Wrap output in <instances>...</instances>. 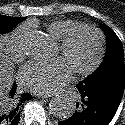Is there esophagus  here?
Segmentation results:
<instances>
[{"label":"esophagus","instance_id":"1","mask_svg":"<svg viewBox=\"0 0 125 125\" xmlns=\"http://www.w3.org/2000/svg\"><path fill=\"white\" fill-rule=\"evenodd\" d=\"M35 95L39 98H48V97H51V95H47V94H38V93H35Z\"/></svg>","mask_w":125,"mask_h":125}]
</instances>
